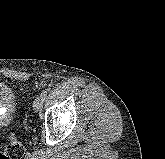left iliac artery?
<instances>
[{
    "mask_svg": "<svg viewBox=\"0 0 165 159\" xmlns=\"http://www.w3.org/2000/svg\"><path fill=\"white\" fill-rule=\"evenodd\" d=\"M47 94H48V91L47 90H44L42 93H41V97L45 100V98L47 97Z\"/></svg>",
    "mask_w": 165,
    "mask_h": 159,
    "instance_id": "44dca946",
    "label": "left iliac artery"
}]
</instances>
